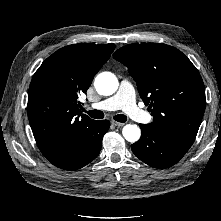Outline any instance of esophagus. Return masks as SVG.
I'll list each match as a JSON object with an SVG mask.
<instances>
[{
    "label": "esophagus",
    "instance_id": "esophagus-1",
    "mask_svg": "<svg viewBox=\"0 0 221 221\" xmlns=\"http://www.w3.org/2000/svg\"><path fill=\"white\" fill-rule=\"evenodd\" d=\"M111 123L116 127H122L125 125V123L117 122L115 120H112Z\"/></svg>",
    "mask_w": 221,
    "mask_h": 221
}]
</instances>
